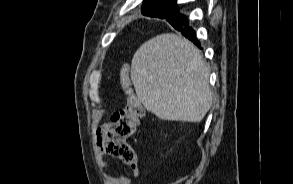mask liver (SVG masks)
I'll return each instance as SVG.
<instances>
[{
	"label": "liver",
	"mask_w": 293,
	"mask_h": 184,
	"mask_svg": "<svg viewBox=\"0 0 293 184\" xmlns=\"http://www.w3.org/2000/svg\"><path fill=\"white\" fill-rule=\"evenodd\" d=\"M209 66L181 35L165 33L133 56L131 80L144 107L159 119L200 122L212 105Z\"/></svg>",
	"instance_id": "6515ba94"
}]
</instances>
